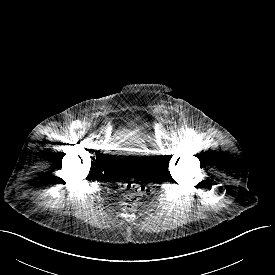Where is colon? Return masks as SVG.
<instances>
[{
	"instance_id": "colon-1",
	"label": "colon",
	"mask_w": 275,
	"mask_h": 275,
	"mask_svg": "<svg viewBox=\"0 0 275 275\" xmlns=\"http://www.w3.org/2000/svg\"><path fill=\"white\" fill-rule=\"evenodd\" d=\"M145 194V187L137 179H129L122 186L121 206L126 211L134 210L136 202Z\"/></svg>"
}]
</instances>
